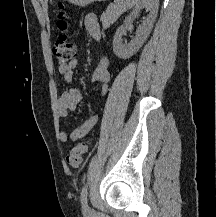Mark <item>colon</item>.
<instances>
[{
    "label": "colon",
    "instance_id": "5ec220e1",
    "mask_svg": "<svg viewBox=\"0 0 216 217\" xmlns=\"http://www.w3.org/2000/svg\"><path fill=\"white\" fill-rule=\"evenodd\" d=\"M57 26L60 35L53 45V54L60 65H65L73 60L75 55V45L68 33V17L64 12L63 5L57 16ZM88 142L77 143L66 156V162L71 168H78L82 162V156L87 151Z\"/></svg>",
    "mask_w": 216,
    "mask_h": 217
}]
</instances>
